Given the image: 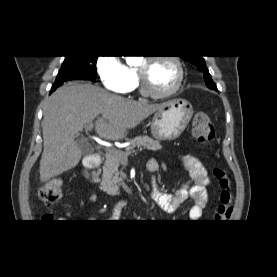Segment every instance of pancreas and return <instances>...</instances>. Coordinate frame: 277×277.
I'll return each mask as SVG.
<instances>
[{"label":"pancreas","instance_id":"1","mask_svg":"<svg viewBox=\"0 0 277 277\" xmlns=\"http://www.w3.org/2000/svg\"><path fill=\"white\" fill-rule=\"evenodd\" d=\"M144 148L152 151H157L162 148L159 141L153 140L148 136H138L130 140V146L125 151H115L106 157L104 166L102 167L101 179L100 170L95 172L94 178L100 183L101 189L108 194H119V186L122 185L126 174L119 170V167L127 162L128 155L134 151V148Z\"/></svg>","mask_w":277,"mask_h":277}]
</instances>
